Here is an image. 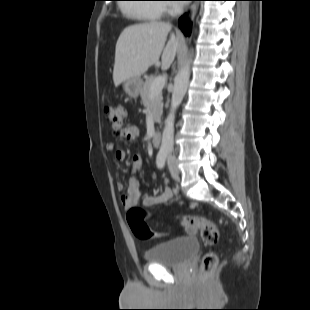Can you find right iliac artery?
<instances>
[{"mask_svg": "<svg viewBox=\"0 0 310 310\" xmlns=\"http://www.w3.org/2000/svg\"><path fill=\"white\" fill-rule=\"evenodd\" d=\"M168 153L169 151L167 149H160L156 158L158 168L162 169L164 167Z\"/></svg>", "mask_w": 310, "mask_h": 310, "instance_id": "right-iliac-artery-1", "label": "right iliac artery"}]
</instances>
